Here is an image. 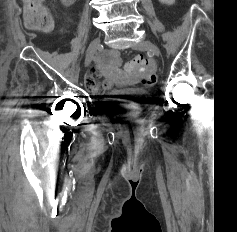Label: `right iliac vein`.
<instances>
[{"mask_svg": "<svg viewBox=\"0 0 237 232\" xmlns=\"http://www.w3.org/2000/svg\"><path fill=\"white\" fill-rule=\"evenodd\" d=\"M100 46V38H95L89 48H88V51H87V54H86V58H85V66H89L94 58V55L97 51V49L99 48Z\"/></svg>", "mask_w": 237, "mask_h": 232, "instance_id": "1", "label": "right iliac vein"}]
</instances>
